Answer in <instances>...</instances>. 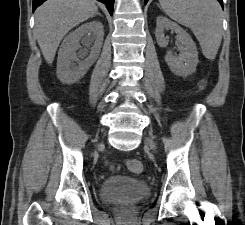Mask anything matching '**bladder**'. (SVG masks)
<instances>
[{"instance_id":"bladder-1","label":"bladder","mask_w":245,"mask_h":225,"mask_svg":"<svg viewBox=\"0 0 245 225\" xmlns=\"http://www.w3.org/2000/svg\"><path fill=\"white\" fill-rule=\"evenodd\" d=\"M149 194L150 186L146 180L134 179L124 175H114L101 183L98 190V200L102 204H110L126 197L145 199Z\"/></svg>"}]
</instances>
